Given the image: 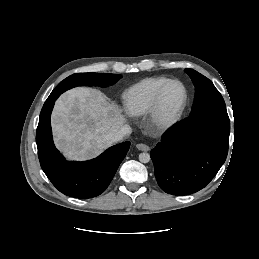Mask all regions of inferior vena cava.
Returning <instances> with one entry per match:
<instances>
[{
	"mask_svg": "<svg viewBox=\"0 0 259 259\" xmlns=\"http://www.w3.org/2000/svg\"><path fill=\"white\" fill-rule=\"evenodd\" d=\"M131 133L129 126H123L120 129L106 135L105 139L109 142H120Z\"/></svg>",
	"mask_w": 259,
	"mask_h": 259,
	"instance_id": "inferior-vena-cava-1",
	"label": "inferior vena cava"
}]
</instances>
